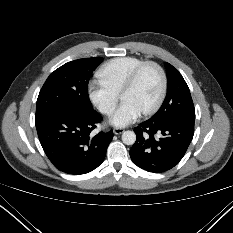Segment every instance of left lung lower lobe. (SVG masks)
<instances>
[{"instance_id":"obj_1","label":"left lung lower lobe","mask_w":233,"mask_h":233,"mask_svg":"<svg viewBox=\"0 0 233 233\" xmlns=\"http://www.w3.org/2000/svg\"><path fill=\"white\" fill-rule=\"evenodd\" d=\"M134 131L136 142L130 150L133 163L148 172L162 173L183 158L194 135V119L176 118L162 123L147 120Z\"/></svg>"}]
</instances>
